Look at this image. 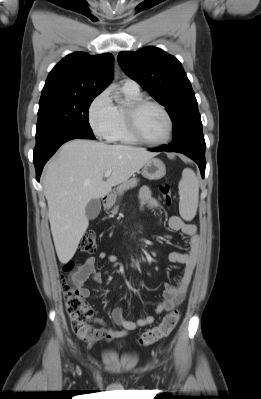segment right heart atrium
<instances>
[{"instance_id": "obj_1", "label": "right heart atrium", "mask_w": 261, "mask_h": 399, "mask_svg": "<svg viewBox=\"0 0 261 399\" xmlns=\"http://www.w3.org/2000/svg\"><path fill=\"white\" fill-rule=\"evenodd\" d=\"M88 121L97 137L111 140L116 123V109L108 91H102L93 99L88 108Z\"/></svg>"}]
</instances>
